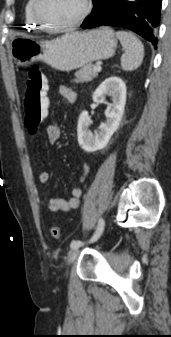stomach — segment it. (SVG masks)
I'll return each instance as SVG.
<instances>
[{
    "instance_id": "1",
    "label": "stomach",
    "mask_w": 171,
    "mask_h": 337,
    "mask_svg": "<svg viewBox=\"0 0 171 337\" xmlns=\"http://www.w3.org/2000/svg\"><path fill=\"white\" fill-rule=\"evenodd\" d=\"M117 39L109 27L65 34L57 39L40 41L16 38L11 42V54L20 66L44 61L61 71H71L93 61L114 55Z\"/></svg>"
}]
</instances>
